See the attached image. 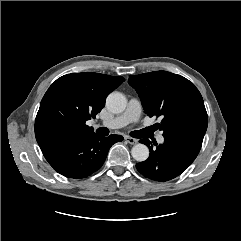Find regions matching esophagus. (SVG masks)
<instances>
[{"instance_id":"1","label":"esophagus","mask_w":241,"mask_h":241,"mask_svg":"<svg viewBox=\"0 0 241 241\" xmlns=\"http://www.w3.org/2000/svg\"><path fill=\"white\" fill-rule=\"evenodd\" d=\"M125 140H126L129 144H131V145H134V144H136V143L138 142L137 139H134V138L129 137V136H126V137H125Z\"/></svg>"}]
</instances>
